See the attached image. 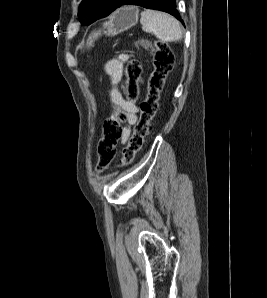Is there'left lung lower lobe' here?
Masks as SVG:
<instances>
[{"instance_id":"1","label":"left lung lower lobe","mask_w":267,"mask_h":298,"mask_svg":"<svg viewBox=\"0 0 267 298\" xmlns=\"http://www.w3.org/2000/svg\"><path fill=\"white\" fill-rule=\"evenodd\" d=\"M126 4L138 5L148 9L165 11L175 16L178 20H180L183 23L176 9V0H115L114 4L111 6L109 11L105 12L104 14L96 15L91 21H88L86 25L93 23L99 18L108 16L115 9Z\"/></svg>"}]
</instances>
